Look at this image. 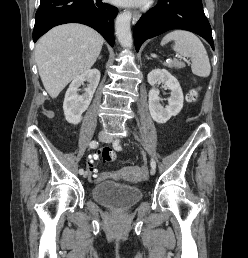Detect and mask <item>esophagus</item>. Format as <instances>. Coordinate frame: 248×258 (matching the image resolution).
<instances>
[{"label":"esophagus","instance_id":"obj_1","mask_svg":"<svg viewBox=\"0 0 248 258\" xmlns=\"http://www.w3.org/2000/svg\"><path fill=\"white\" fill-rule=\"evenodd\" d=\"M140 18V13L138 11H133L132 23L135 24Z\"/></svg>","mask_w":248,"mask_h":258}]
</instances>
